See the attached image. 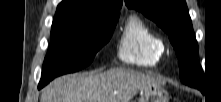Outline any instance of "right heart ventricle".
Returning <instances> with one entry per match:
<instances>
[{
    "label": "right heart ventricle",
    "instance_id": "1",
    "mask_svg": "<svg viewBox=\"0 0 221 102\" xmlns=\"http://www.w3.org/2000/svg\"><path fill=\"white\" fill-rule=\"evenodd\" d=\"M165 53L160 35L137 15L125 21L119 41L118 57L125 63L141 67L157 66Z\"/></svg>",
    "mask_w": 221,
    "mask_h": 102
}]
</instances>
